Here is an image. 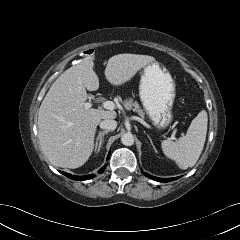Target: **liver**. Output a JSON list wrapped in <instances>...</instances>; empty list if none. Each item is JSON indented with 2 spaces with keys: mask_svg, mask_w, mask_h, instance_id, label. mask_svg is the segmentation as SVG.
I'll list each match as a JSON object with an SVG mask.
<instances>
[{
  "mask_svg": "<svg viewBox=\"0 0 240 240\" xmlns=\"http://www.w3.org/2000/svg\"><path fill=\"white\" fill-rule=\"evenodd\" d=\"M155 62L149 55L118 54L105 69L109 83L120 86L146 65ZM99 88L94 63L83 59L64 71L52 84L39 108L38 136L41 149L50 163L78 168L93 152L96 128L102 119H114V111L85 109L87 90Z\"/></svg>",
  "mask_w": 240,
  "mask_h": 240,
  "instance_id": "6515ba94",
  "label": "liver"
}]
</instances>
